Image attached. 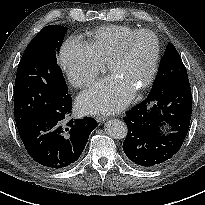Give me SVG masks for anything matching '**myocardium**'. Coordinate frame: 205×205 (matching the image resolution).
Listing matches in <instances>:
<instances>
[{"label":"myocardium","instance_id":"f54148a6","mask_svg":"<svg viewBox=\"0 0 205 205\" xmlns=\"http://www.w3.org/2000/svg\"><path fill=\"white\" fill-rule=\"evenodd\" d=\"M141 35H148L153 39L154 56H153L149 74L147 78L145 79V81L143 82V84L135 91V94H139L143 92L144 90H146L148 87H150L156 77L158 67H159V62H160V55H161V44H160V40L158 36L154 32L148 29H139V30L132 32L131 34L127 35L124 38L119 49L113 54V56L107 62V67H111L112 65L124 59L127 54V50H128L130 43L135 38Z\"/></svg>","mask_w":205,"mask_h":205}]
</instances>
